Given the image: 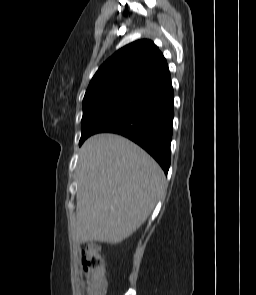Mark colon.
<instances>
[{"mask_svg": "<svg viewBox=\"0 0 256 295\" xmlns=\"http://www.w3.org/2000/svg\"><path fill=\"white\" fill-rule=\"evenodd\" d=\"M82 267L91 295H104L106 289L104 259L96 243L88 244L82 251Z\"/></svg>", "mask_w": 256, "mask_h": 295, "instance_id": "1", "label": "colon"}]
</instances>
